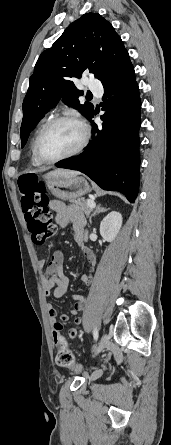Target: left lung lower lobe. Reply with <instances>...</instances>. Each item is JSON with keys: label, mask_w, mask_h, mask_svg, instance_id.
I'll return each mask as SVG.
<instances>
[{"label": "left lung lower lobe", "mask_w": 171, "mask_h": 445, "mask_svg": "<svg viewBox=\"0 0 171 445\" xmlns=\"http://www.w3.org/2000/svg\"><path fill=\"white\" fill-rule=\"evenodd\" d=\"M104 96L114 95L101 116L102 127L92 121V140L83 153L59 161L56 166L78 170L102 189L119 191L133 203L139 189V128L141 124L139 87L131 63L124 65L104 84ZM109 109L106 106L104 110Z\"/></svg>", "instance_id": "1"}]
</instances>
